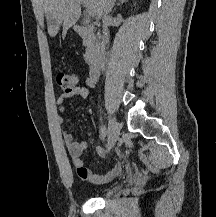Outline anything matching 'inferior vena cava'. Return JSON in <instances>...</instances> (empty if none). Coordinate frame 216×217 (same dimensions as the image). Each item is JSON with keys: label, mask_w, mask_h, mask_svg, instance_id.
Wrapping results in <instances>:
<instances>
[{"label": "inferior vena cava", "mask_w": 216, "mask_h": 217, "mask_svg": "<svg viewBox=\"0 0 216 217\" xmlns=\"http://www.w3.org/2000/svg\"><path fill=\"white\" fill-rule=\"evenodd\" d=\"M115 0H108L105 8V12L103 15V35L108 40L109 38V31H108V26L111 23V16L109 15L110 12L112 11V8L114 6Z\"/></svg>", "instance_id": "obj_1"}]
</instances>
